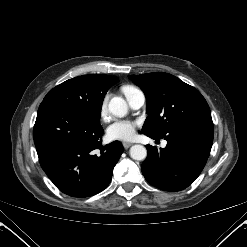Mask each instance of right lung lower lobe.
Returning a JSON list of instances; mask_svg holds the SVG:
<instances>
[{"instance_id":"obj_1","label":"right lung lower lobe","mask_w":247,"mask_h":247,"mask_svg":"<svg viewBox=\"0 0 247 247\" xmlns=\"http://www.w3.org/2000/svg\"><path fill=\"white\" fill-rule=\"evenodd\" d=\"M103 133L99 122L70 107H39L33 135L39 162L61 192L88 197L109 185L123 146L114 141L103 147Z\"/></svg>"}]
</instances>
